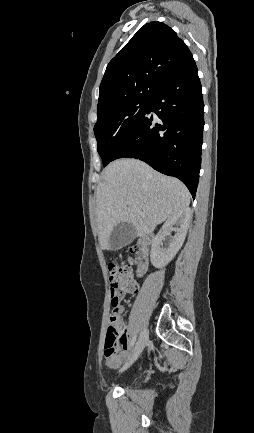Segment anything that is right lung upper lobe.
<instances>
[{
  "mask_svg": "<svg viewBox=\"0 0 254 433\" xmlns=\"http://www.w3.org/2000/svg\"><path fill=\"white\" fill-rule=\"evenodd\" d=\"M193 60L187 45L162 22L145 24L109 62L97 111L131 99H152L159 88Z\"/></svg>",
  "mask_w": 254,
  "mask_h": 433,
  "instance_id": "1",
  "label": "right lung upper lobe"
}]
</instances>
